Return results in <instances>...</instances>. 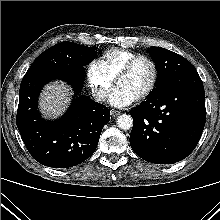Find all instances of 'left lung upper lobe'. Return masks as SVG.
Here are the masks:
<instances>
[{
    "label": "left lung upper lobe",
    "instance_id": "left-lung-upper-lobe-1",
    "mask_svg": "<svg viewBox=\"0 0 220 220\" xmlns=\"http://www.w3.org/2000/svg\"><path fill=\"white\" fill-rule=\"evenodd\" d=\"M158 72V80L154 91L164 86L177 74L196 70L195 67L184 57L161 47L148 48Z\"/></svg>",
    "mask_w": 220,
    "mask_h": 220
}]
</instances>
